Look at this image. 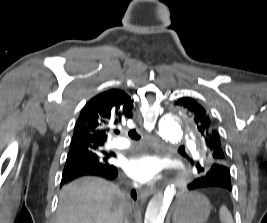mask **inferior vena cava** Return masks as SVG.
<instances>
[{"label": "inferior vena cava", "instance_id": "obj_1", "mask_svg": "<svg viewBox=\"0 0 267 223\" xmlns=\"http://www.w3.org/2000/svg\"><path fill=\"white\" fill-rule=\"evenodd\" d=\"M135 187H138V185L137 184H135ZM127 214H130L131 213V207L129 206V209H128V211L126 212ZM124 223H128V220H127V218L125 217V221H124Z\"/></svg>", "mask_w": 267, "mask_h": 223}]
</instances>
